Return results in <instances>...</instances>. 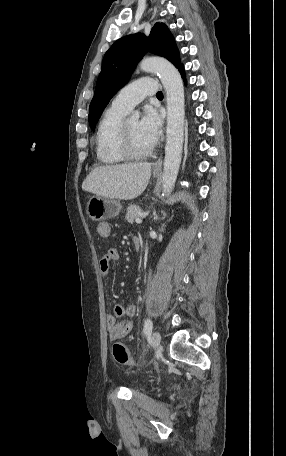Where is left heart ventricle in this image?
Masks as SVG:
<instances>
[{
  "mask_svg": "<svg viewBox=\"0 0 286 456\" xmlns=\"http://www.w3.org/2000/svg\"><path fill=\"white\" fill-rule=\"evenodd\" d=\"M127 127L130 134L132 148L135 152H144L152 145V142L141 132L139 122L137 120L128 121Z\"/></svg>",
  "mask_w": 286,
  "mask_h": 456,
  "instance_id": "b2bd125f",
  "label": "left heart ventricle"
}]
</instances>
